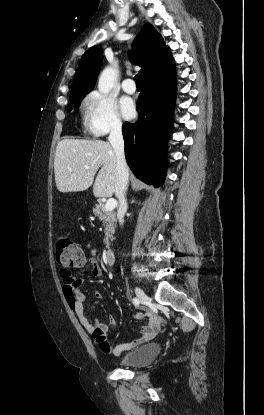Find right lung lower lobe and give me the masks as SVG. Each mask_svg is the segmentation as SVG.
I'll return each mask as SVG.
<instances>
[{"mask_svg": "<svg viewBox=\"0 0 264 415\" xmlns=\"http://www.w3.org/2000/svg\"><path fill=\"white\" fill-rule=\"evenodd\" d=\"M176 73L143 81L137 101L139 119L122 126L127 164L135 176L159 187L166 174V145L172 125Z\"/></svg>", "mask_w": 264, "mask_h": 415, "instance_id": "obj_1", "label": "right lung lower lobe"}]
</instances>
